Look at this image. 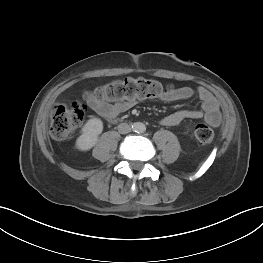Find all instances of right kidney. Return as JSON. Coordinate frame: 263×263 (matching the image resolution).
<instances>
[{
    "label": "right kidney",
    "instance_id": "right-kidney-1",
    "mask_svg": "<svg viewBox=\"0 0 263 263\" xmlns=\"http://www.w3.org/2000/svg\"><path fill=\"white\" fill-rule=\"evenodd\" d=\"M103 123L98 118L89 119L82 128V134L76 141L77 148L81 151L91 149L98 141V136L102 133Z\"/></svg>",
    "mask_w": 263,
    "mask_h": 263
}]
</instances>
